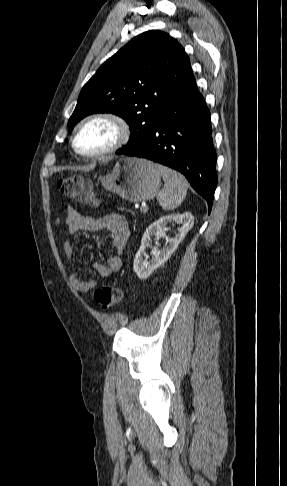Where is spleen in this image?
I'll return each instance as SVG.
<instances>
[{
	"label": "spleen",
	"mask_w": 287,
	"mask_h": 486,
	"mask_svg": "<svg viewBox=\"0 0 287 486\" xmlns=\"http://www.w3.org/2000/svg\"><path fill=\"white\" fill-rule=\"evenodd\" d=\"M165 182L164 188L157 195V199L166 211L176 209L186 197L188 183L185 177L168 167L157 164Z\"/></svg>",
	"instance_id": "obj_1"
}]
</instances>
